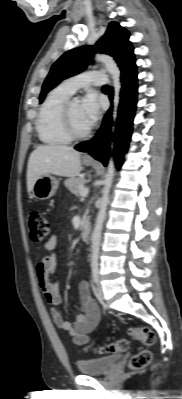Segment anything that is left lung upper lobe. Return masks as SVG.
Listing matches in <instances>:
<instances>
[{"label": "left lung upper lobe", "instance_id": "obj_1", "mask_svg": "<svg viewBox=\"0 0 182 399\" xmlns=\"http://www.w3.org/2000/svg\"><path fill=\"white\" fill-rule=\"evenodd\" d=\"M129 32L116 22H111L104 36L92 46H81L65 52L51 67L39 97L43 102L45 95L60 81L83 71L91 61L94 52L106 53L114 57L121 73L135 65Z\"/></svg>", "mask_w": 182, "mask_h": 399}]
</instances>
